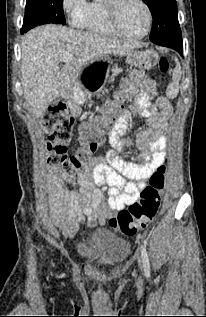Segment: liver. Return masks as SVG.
Returning <instances> with one entry per match:
<instances>
[{
  "instance_id": "6515ba94",
  "label": "liver",
  "mask_w": 206,
  "mask_h": 317,
  "mask_svg": "<svg viewBox=\"0 0 206 317\" xmlns=\"http://www.w3.org/2000/svg\"><path fill=\"white\" fill-rule=\"evenodd\" d=\"M141 47L94 33H85L61 25H43L29 31L21 43V82L24 98L33 114L41 117L48 106L59 99H71L83 67L95 59L113 54L124 56ZM75 55L62 68V58Z\"/></svg>"
}]
</instances>
